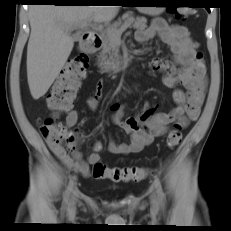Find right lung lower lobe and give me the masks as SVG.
I'll return each instance as SVG.
<instances>
[{"label":"right lung lower lobe","instance_id":"right-lung-lower-lobe-1","mask_svg":"<svg viewBox=\"0 0 231 231\" xmlns=\"http://www.w3.org/2000/svg\"><path fill=\"white\" fill-rule=\"evenodd\" d=\"M27 2L37 4V3H52L55 5H81L79 0H26Z\"/></svg>","mask_w":231,"mask_h":231}]
</instances>
